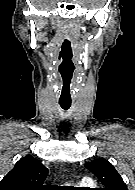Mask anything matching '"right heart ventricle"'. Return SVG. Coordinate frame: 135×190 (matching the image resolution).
Segmentation results:
<instances>
[{"label":"right heart ventricle","instance_id":"e07e8e85","mask_svg":"<svg viewBox=\"0 0 135 190\" xmlns=\"http://www.w3.org/2000/svg\"><path fill=\"white\" fill-rule=\"evenodd\" d=\"M91 185H92V183L89 182V181L81 182V183L79 184L80 187H88V186H91Z\"/></svg>","mask_w":135,"mask_h":190}]
</instances>
